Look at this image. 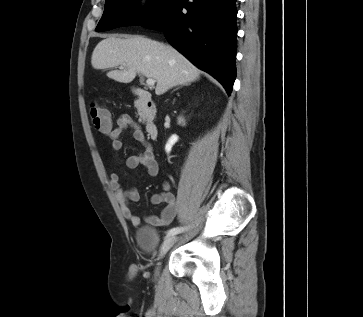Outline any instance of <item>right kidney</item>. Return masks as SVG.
I'll return each mask as SVG.
<instances>
[{
	"label": "right kidney",
	"instance_id": "1",
	"mask_svg": "<svg viewBox=\"0 0 363 317\" xmlns=\"http://www.w3.org/2000/svg\"><path fill=\"white\" fill-rule=\"evenodd\" d=\"M178 124L185 125V121H184V119L182 117L178 118Z\"/></svg>",
	"mask_w": 363,
	"mask_h": 317
}]
</instances>
